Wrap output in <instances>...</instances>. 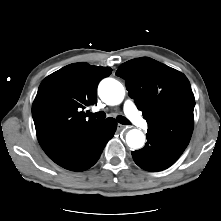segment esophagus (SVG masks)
Segmentation results:
<instances>
[{"instance_id":"34e87169","label":"esophagus","mask_w":221,"mask_h":221,"mask_svg":"<svg viewBox=\"0 0 221 221\" xmlns=\"http://www.w3.org/2000/svg\"><path fill=\"white\" fill-rule=\"evenodd\" d=\"M127 128H128L127 126L122 125V124H118V125H117V129H118V130H124V129H127Z\"/></svg>"}]
</instances>
